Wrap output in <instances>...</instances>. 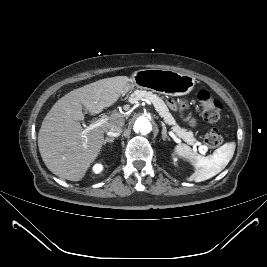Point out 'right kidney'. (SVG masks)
<instances>
[{
    "instance_id": "1",
    "label": "right kidney",
    "mask_w": 267,
    "mask_h": 267,
    "mask_svg": "<svg viewBox=\"0 0 267 267\" xmlns=\"http://www.w3.org/2000/svg\"><path fill=\"white\" fill-rule=\"evenodd\" d=\"M102 169H103V166H102L101 164H96V165H94V167H93V171H94L96 174L100 173V172L102 171Z\"/></svg>"
}]
</instances>
